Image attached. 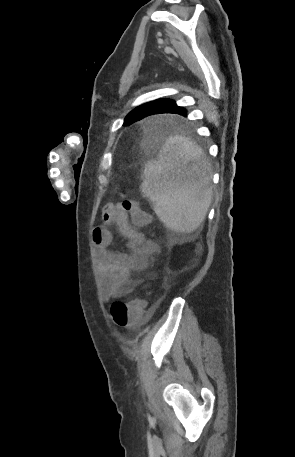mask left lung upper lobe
<instances>
[{
    "label": "left lung upper lobe",
    "mask_w": 295,
    "mask_h": 457,
    "mask_svg": "<svg viewBox=\"0 0 295 457\" xmlns=\"http://www.w3.org/2000/svg\"><path fill=\"white\" fill-rule=\"evenodd\" d=\"M165 100L166 99H158V100L150 101L148 103H145L143 105L136 107L127 115V117L124 120V124L129 125L138 120H141L142 118H144L146 116H149L151 114V111L153 110V108Z\"/></svg>",
    "instance_id": "1"
}]
</instances>
